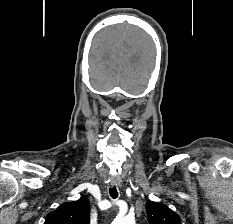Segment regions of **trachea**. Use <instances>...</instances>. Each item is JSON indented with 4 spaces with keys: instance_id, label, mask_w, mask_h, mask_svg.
<instances>
[{
    "instance_id": "3493384b",
    "label": "trachea",
    "mask_w": 233,
    "mask_h": 224,
    "mask_svg": "<svg viewBox=\"0 0 233 224\" xmlns=\"http://www.w3.org/2000/svg\"><path fill=\"white\" fill-rule=\"evenodd\" d=\"M109 192H110V196L113 198V199H116L118 197V192H117V189L115 186H113L112 188L109 189Z\"/></svg>"
}]
</instances>
